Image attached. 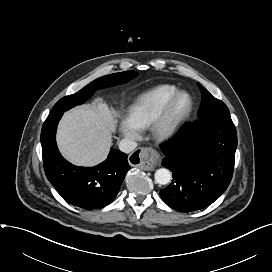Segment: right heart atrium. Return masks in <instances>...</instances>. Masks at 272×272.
<instances>
[{"instance_id":"right-heart-atrium-1","label":"right heart atrium","mask_w":272,"mask_h":272,"mask_svg":"<svg viewBox=\"0 0 272 272\" xmlns=\"http://www.w3.org/2000/svg\"><path fill=\"white\" fill-rule=\"evenodd\" d=\"M122 134L130 140H137L140 136L139 129L136 128L128 118H123L120 123Z\"/></svg>"}]
</instances>
